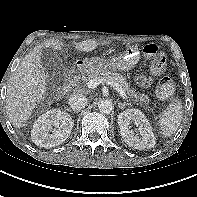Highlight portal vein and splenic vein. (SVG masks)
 I'll list each match as a JSON object with an SVG mask.
<instances>
[{
	"mask_svg": "<svg viewBox=\"0 0 197 197\" xmlns=\"http://www.w3.org/2000/svg\"><path fill=\"white\" fill-rule=\"evenodd\" d=\"M104 82H107L108 84L112 85L113 87H115V89L117 90V92L120 94V96L123 98V99H127V96H126V93L125 91L123 90V88L117 84V83H113L111 81H103V80H100V79H92V80H89L87 82V87L90 88V89H94L96 88L100 83H104Z\"/></svg>",
	"mask_w": 197,
	"mask_h": 197,
	"instance_id": "18ae733b",
	"label": "portal vein and splenic vein"
}]
</instances>
